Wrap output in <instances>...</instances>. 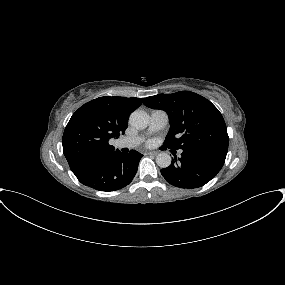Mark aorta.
Segmentation results:
<instances>
[{"mask_svg": "<svg viewBox=\"0 0 285 285\" xmlns=\"http://www.w3.org/2000/svg\"><path fill=\"white\" fill-rule=\"evenodd\" d=\"M148 115L143 111H134L129 117V124L137 129L142 130L148 126ZM156 164L161 168H167L171 164V157L169 154L162 152L156 157Z\"/></svg>", "mask_w": 285, "mask_h": 285, "instance_id": "obj_1", "label": "aorta"}]
</instances>
